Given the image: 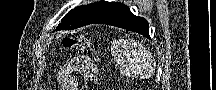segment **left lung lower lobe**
Instances as JSON below:
<instances>
[{
  "mask_svg": "<svg viewBox=\"0 0 216 90\" xmlns=\"http://www.w3.org/2000/svg\"><path fill=\"white\" fill-rule=\"evenodd\" d=\"M94 23L108 24L140 33L150 39L148 22L132 14L127 6L112 11Z\"/></svg>",
  "mask_w": 216,
  "mask_h": 90,
  "instance_id": "obj_1",
  "label": "left lung lower lobe"
}]
</instances>
